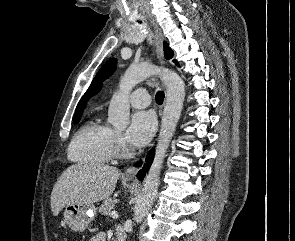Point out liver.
<instances>
[{
  "instance_id": "1",
  "label": "liver",
  "mask_w": 295,
  "mask_h": 241,
  "mask_svg": "<svg viewBox=\"0 0 295 241\" xmlns=\"http://www.w3.org/2000/svg\"><path fill=\"white\" fill-rule=\"evenodd\" d=\"M120 172L116 167L78 163L58 178L51 193V209L57 216L69 204H93L108 199L114 192Z\"/></svg>"
}]
</instances>
